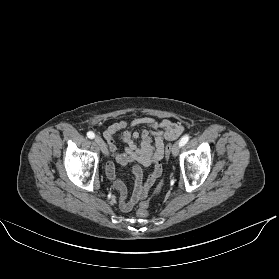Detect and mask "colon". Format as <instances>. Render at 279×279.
Segmentation results:
<instances>
[{"mask_svg": "<svg viewBox=\"0 0 279 279\" xmlns=\"http://www.w3.org/2000/svg\"><path fill=\"white\" fill-rule=\"evenodd\" d=\"M172 151V146L171 144H168L165 148V155L166 158H169L170 152ZM162 186V182L159 183V185L157 186L155 193H158L161 189ZM150 206V202L149 201H144L142 203H140L138 209H137V215L141 218H144L148 215V209Z\"/></svg>", "mask_w": 279, "mask_h": 279, "instance_id": "5ec220e1", "label": "colon"}]
</instances>
